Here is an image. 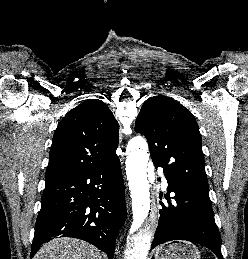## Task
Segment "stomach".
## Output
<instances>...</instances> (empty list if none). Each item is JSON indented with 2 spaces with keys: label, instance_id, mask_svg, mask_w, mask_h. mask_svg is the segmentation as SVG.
I'll use <instances>...</instances> for the list:
<instances>
[{
  "label": "stomach",
  "instance_id": "obj_1",
  "mask_svg": "<svg viewBox=\"0 0 248 259\" xmlns=\"http://www.w3.org/2000/svg\"><path fill=\"white\" fill-rule=\"evenodd\" d=\"M155 259H201L198 248L187 241L170 242L156 249Z\"/></svg>",
  "mask_w": 248,
  "mask_h": 259
}]
</instances>
